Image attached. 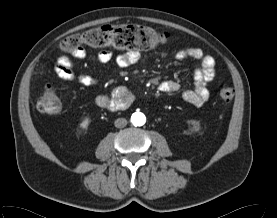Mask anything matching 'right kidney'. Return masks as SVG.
I'll list each match as a JSON object with an SVG mask.
<instances>
[{"label":"right kidney","instance_id":"obj_1","mask_svg":"<svg viewBox=\"0 0 277 218\" xmlns=\"http://www.w3.org/2000/svg\"><path fill=\"white\" fill-rule=\"evenodd\" d=\"M89 123H90V119H89L88 117H85V118L83 119V121L81 122L80 127H81L82 129H87L88 126H89Z\"/></svg>","mask_w":277,"mask_h":218}]
</instances>
